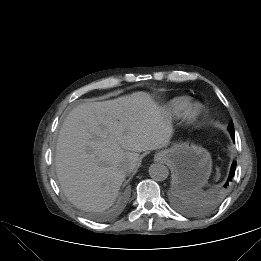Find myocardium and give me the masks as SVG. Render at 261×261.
I'll return each mask as SVG.
<instances>
[{
	"instance_id": "1",
	"label": "myocardium",
	"mask_w": 261,
	"mask_h": 261,
	"mask_svg": "<svg viewBox=\"0 0 261 261\" xmlns=\"http://www.w3.org/2000/svg\"><path fill=\"white\" fill-rule=\"evenodd\" d=\"M202 110V106L198 103L193 104L189 107V109L186 111V118L188 121L194 120Z\"/></svg>"
}]
</instances>
